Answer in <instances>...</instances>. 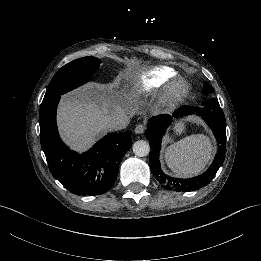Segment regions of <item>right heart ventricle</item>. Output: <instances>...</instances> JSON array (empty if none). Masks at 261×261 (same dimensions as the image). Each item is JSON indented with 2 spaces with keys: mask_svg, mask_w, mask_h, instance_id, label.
Listing matches in <instances>:
<instances>
[{
  "mask_svg": "<svg viewBox=\"0 0 261 261\" xmlns=\"http://www.w3.org/2000/svg\"><path fill=\"white\" fill-rule=\"evenodd\" d=\"M175 75H176V74L173 73L172 76H171V78H173ZM143 85H144L145 88H147V82H146V80L143 81Z\"/></svg>",
  "mask_w": 261,
  "mask_h": 261,
  "instance_id": "right-heart-ventricle-1",
  "label": "right heart ventricle"
}]
</instances>
